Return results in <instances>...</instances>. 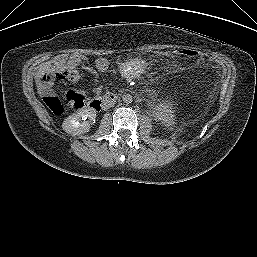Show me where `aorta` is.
<instances>
[{"label": "aorta", "instance_id": "obj_1", "mask_svg": "<svg viewBox=\"0 0 257 257\" xmlns=\"http://www.w3.org/2000/svg\"><path fill=\"white\" fill-rule=\"evenodd\" d=\"M122 100H123L124 103L130 104V103H132L133 98H132V95H131V94H124V95L122 96Z\"/></svg>", "mask_w": 257, "mask_h": 257}]
</instances>
